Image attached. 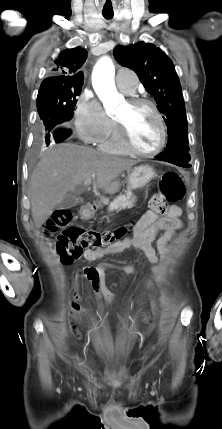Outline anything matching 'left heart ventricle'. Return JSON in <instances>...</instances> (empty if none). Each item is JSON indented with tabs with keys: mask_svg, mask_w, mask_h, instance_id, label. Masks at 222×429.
Here are the masks:
<instances>
[{
	"mask_svg": "<svg viewBox=\"0 0 222 429\" xmlns=\"http://www.w3.org/2000/svg\"><path fill=\"white\" fill-rule=\"evenodd\" d=\"M128 128L133 144L141 151H152L160 142V130L152 111L146 106L132 107L127 102L116 116Z\"/></svg>",
	"mask_w": 222,
	"mask_h": 429,
	"instance_id": "1",
	"label": "left heart ventricle"
}]
</instances>
